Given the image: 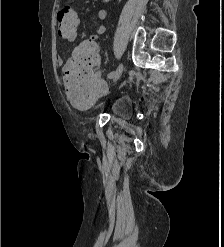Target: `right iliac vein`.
<instances>
[{
  "label": "right iliac vein",
  "mask_w": 224,
  "mask_h": 247,
  "mask_svg": "<svg viewBox=\"0 0 224 247\" xmlns=\"http://www.w3.org/2000/svg\"><path fill=\"white\" fill-rule=\"evenodd\" d=\"M123 68V64H120L118 68L114 71V75L112 77L113 82H116L120 78L123 72Z\"/></svg>",
  "instance_id": "right-iliac-vein-1"
}]
</instances>
